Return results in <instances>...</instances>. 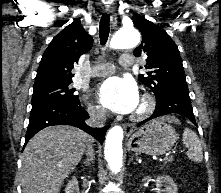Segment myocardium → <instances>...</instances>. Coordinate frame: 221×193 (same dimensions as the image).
<instances>
[{"label": "myocardium", "mask_w": 221, "mask_h": 193, "mask_svg": "<svg viewBox=\"0 0 221 193\" xmlns=\"http://www.w3.org/2000/svg\"><path fill=\"white\" fill-rule=\"evenodd\" d=\"M154 109V99L148 95L144 94L140 100L137 110L132 115V119L135 121H140L146 118Z\"/></svg>", "instance_id": "f54148a6"}]
</instances>
